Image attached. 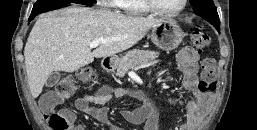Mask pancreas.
Returning <instances> with one entry per match:
<instances>
[{
	"instance_id": "pancreas-1",
	"label": "pancreas",
	"mask_w": 257,
	"mask_h": 130,
	"mask_svg": "<svg viewBox=\"0 0 257 130\" xmlns=\"http://www.w3.org/2000/svg\"><path fill=\"white\" fill-rule=\"evenodd\" d=\"M158 56L159 53L154 51L131 50L119 60L116 75L124 77L128 70L153 62Z\"/></svg>"
}]
</instances>
